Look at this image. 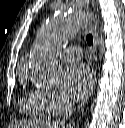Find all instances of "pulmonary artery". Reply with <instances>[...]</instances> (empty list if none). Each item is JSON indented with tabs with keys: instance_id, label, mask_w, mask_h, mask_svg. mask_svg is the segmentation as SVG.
Listing matches in <instances>:
<instances>
[{
	"instance_id": "1",
	"label": "pulmonary artery",
	"mask_w": 125,
	"mask_h": 128,
	"mask_svg": "<svg viewBox=\"0 0 125 128\" xmlns=\"http://www.w3.org/2000/svg\"><path fill=\"white\" fill-rule=\"evenodd\" d=\"M58 55L65 61H74L82 57V51L78 46H71L61 50Z\"/></svg>"
}]
</instances>
